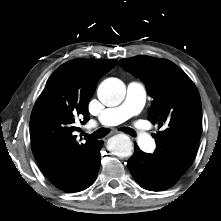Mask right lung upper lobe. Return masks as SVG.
I'll use <instances>...</instances> for the list:
<instances>
[{"instance_id": "1", "label": "right lung upper lobe", "mask_w": 221, "mask_h": 221, "mask_svg": "<svg viewBox=\"0 0 221 221\" xmlns=\"http://www.w3.org/2000/svg\"><path fill=\"white\" fill-rule=\"evenodd\" d=\"M116 60L74 59L49 78L33 108L30 127L32 151L40 168L59 189L78 177L97 141H76L77 117L89 120L87 106L99 79Z\"/></svg>"}]
</instances>
